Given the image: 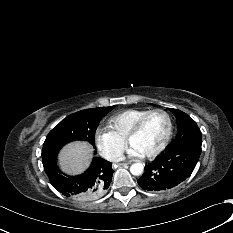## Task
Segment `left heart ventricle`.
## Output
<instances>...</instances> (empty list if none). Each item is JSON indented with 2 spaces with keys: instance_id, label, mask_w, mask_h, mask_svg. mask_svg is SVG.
I'll return each mask as SVG.
<instances>
[{
  "instance_id": "b2bd125f",
  "label": "left heart ventricle",
  "mask_w": 233,
  "mask_h": 233,
  "mask_svg": "<svg viewBox=\"0 0 233 233\" xmlns=\"http://www.w3.org/2000/svg\"><path fill=\"white\" fill-rule=\"evenodd\" d=\"M167 129L166 116L154 113L146 119L140 132L131 139L130 145L138 149L142 155L148 154L162 143Z\"/></svg>"
}]
</instances>
